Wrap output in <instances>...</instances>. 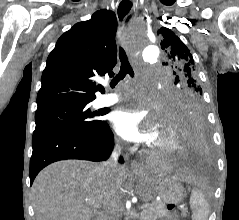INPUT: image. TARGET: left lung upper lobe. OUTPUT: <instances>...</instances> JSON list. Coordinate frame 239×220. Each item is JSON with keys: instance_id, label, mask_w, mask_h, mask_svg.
<instances>
[{"instance_id": "left-lung-upper-lobe-1", "label": "left lung upper lobe", "mask_w": 239, "mask_h": 220, "mask_svg": "<svg viewBox=\"0 0 239 220\" xmlns=\"http://www.w3.org/2000/svg\"><path fill=\"white\" fill-rule=\"evenodd\" d=\"M170 69L167 110L172 118L185 108L203 107L202 88L189 49L170 29L157 32Z\"/></svg>"}]
</instances>
